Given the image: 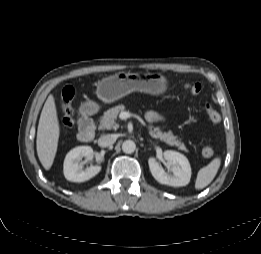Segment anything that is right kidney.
<instances>
[{"instance_id":"obj_1","label":"right kidney","mask_w":261,"mask_h":254,"mask_svg":"<svg viewBox=\"0 0 261 254\" xmlns=\"http://www.w3.org/2000/svg\"><path fill=\"white\" fill-rule=\"evenodd\" d=\"M92 154L93 149L90 146H78L68 152L63 165L65 178L72 182H84L97 175L101 170L99 165L82 170V158H90Z\"/></svg>"}]
</instances>
